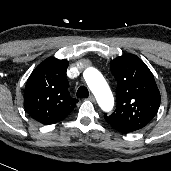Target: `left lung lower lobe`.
<instances>
[{"instance_id": "0a47b994", "label": "left lung lower lobe", "mask_w": 171, "mask_h": 171, "mask_svg": "<svg viewBox=\"0 0 171 171\" xmlns=\"http://www.w3.org/2000/svg\"><path fill=\"white\" fill-rule=\"evenodd\" d=\"M139 129H135V128H125V129H121V130H118L119 132H122V133H131V132H134V131H137Z\"/></svg>"}]
</instances>
